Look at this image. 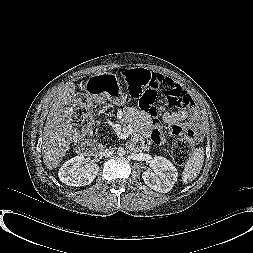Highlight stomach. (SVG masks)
Returning <instances> with one entry per match:
<instances>
[{
  "label": "stomach",
  "instance_id": "0dacf381",
  "mask_svg": "<svg viewBox=\"0 0 253 253\" xmlns=\"http://www.w3.org/2000/svg\"><path fill=\"white\" fill-rule=\"evenodd\" d=\"M85 90L88 96L97 102L108 99L118 106L126 103V94L116 76L110 73H102L89 78L85 84Z\"/></svg>",
  "mask_w": 253,
  "mask_h": 253
}]
</instances>
